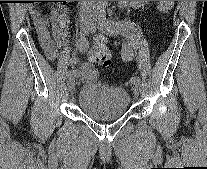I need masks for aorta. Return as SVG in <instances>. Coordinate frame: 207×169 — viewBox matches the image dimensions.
<instances>
[{"label":"aorta","instance_id":"obj_1","mask_svg":"<svg viewBox=\"0 0 207 169\" xmlns=\"http://www.w3.org/2000/svg\"><path fill=\"white\" fill-rule=\"evenodd\" d=\"M107 1H95L96 4H99V5H103L105 4ZM132 3V1H119V4L121 6H128Z\"/></svg>","mask_w":207,"mask_h":169}]
</instances>
